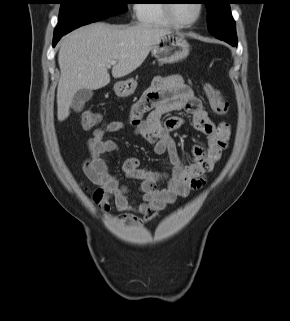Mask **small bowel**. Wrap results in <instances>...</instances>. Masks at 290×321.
<instances>
[{"mask_svg": "<svg viewBox=\"0 0 290 321\" xmlns=\"http://www.w3.org/2000/svg\"><path fill=\"white\" fill-rule=\"evenodd\" d=\"M174 111H186L191 119H164ZM130 120L134 134L153 144L157 155H167L170 163L169 170L161 171L141 167L135 157L123 162V173L140 181L137 190L141 201L131 197L132 190L120 183L102 157L118 150L117 143L107 135L122 130V122L109 121L93 132L87 140L88 157L82 169L87 178L98 186L93 200L104 214H109L114 205L124 212L119 216L120 221L142 225L177 198L187 197L202 187L205 175L227 148L231 128L227 122L211 118L202 101L180 75L156 77L152 86L132 106ZM187 124L208 136L207 148L202 145L193 147L194 161L189 164L182 161L171 137L172 131Z\"/></svg>", "mask_w": 290, "mask_h": 321, "instance_id": "c3829d8e", "label": "small bowel"}]
</instances>
